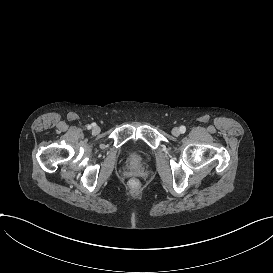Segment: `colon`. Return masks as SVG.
Returning <instances> with one entry per match:
<instances>
[{"label": "colon", "mask_w": 273, "mask_h": 273, "mask_svg": "<svg viewBox=\"0 0 273 273\" xmlns=\"http://www.w3.org/2000/svg\"><path fill=\"white\" fill-rule=\"evenodd\" d=\"M140 187V182L137 178H132L130 180V188L132 190H137Z\"/></svg>", "instance_id": "obj_1"}]
</instances>
